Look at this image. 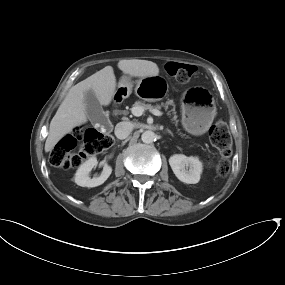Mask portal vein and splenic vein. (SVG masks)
I'll return each mask as SVG.
<instances>
[{"instance_id":"obj_1","label":"portal vein and splenic vein","mask_w":285,"mask_h":285,"mask_svg":"<svg viewBox=\"0 0 285 285\" xmlns=\"http://www.w3.org/2000/svg\"><path fill=\"white\" fill-rule=\"evenodd\" d=\"M131 112L134 116L139 117L143 114L144 109L142 107H139V106H134L131 108ZM151 113L155 116H162V114H163L161 111H159L157 109H152Z\"/></svg>"}]
</instances>
